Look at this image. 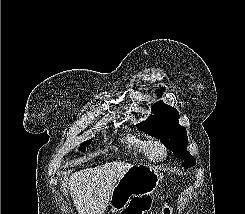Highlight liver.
Returning <instances> with one entry per match:
<instances>
[{
    "instance_id": "6515ba94",
    "label": "liver",
    "mask_w": 245,
    "mask_h": 214,
    "mask_svg": "<svg viewBox=\"0 0 245 214\" xmlns=\"http://www.w3.org/2000/svg\"><path fill=\"white\" fill-rule=\"evenodd\" d=\"M133 166L130 163L112 161L73 173L68 181V189L78 213L103 214L114 186Z\"/></svg>"
}]
</instances>
